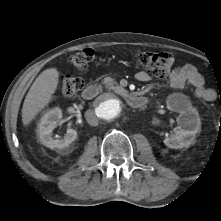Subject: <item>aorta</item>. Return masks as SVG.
I'll use <instances>...</instances> for the list:
<instances>
[{"label": "aorta", "instance_id": "762f6f07", "mask_svg": "<svg viewBox=\"0 0 221 221\" xmlns=\"http://www.w3.org/2000/svg\"><path fill=\"white\" fill-rule=\"evenodd\" d=\"M123 101L114 94H105L97 102L96 115L104 122H112L121 116Z\"/></svg>", "mask_w": 221, "mask_h": 221}]
</instances>
